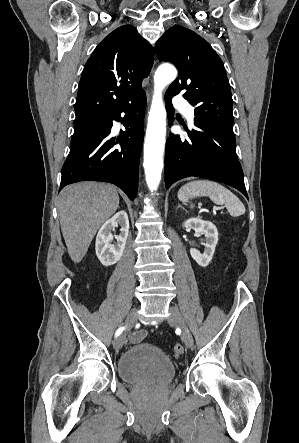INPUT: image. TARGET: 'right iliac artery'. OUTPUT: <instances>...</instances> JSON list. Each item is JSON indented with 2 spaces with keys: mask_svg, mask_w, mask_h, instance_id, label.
<instances>
[{
  "mask_svg": "<svg viewBox=\"0 0 299 443\" xmlns=\"http://www.w3.org/2000/svg\"><path fill=\"white\" fill-rule=\"evenodd\" d=\"M124 329H125V327L118 328L117 331L115 332V337L119 336Z\"/></svg>",
  "mask_w": 299,
  "mask_h": 443,
  "instance_id": "1",
  "label": "right iliac artery"
}]
</instances>
